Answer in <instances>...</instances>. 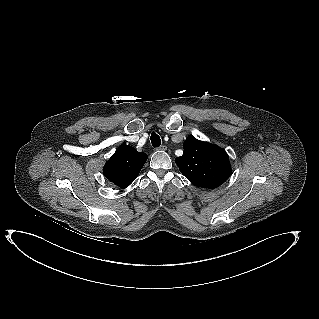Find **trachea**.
<instances>
[{
  "label": "trachea",
  "instance_id": "trachea-1",
  "mask_svg": "<svg viewBox=\"0 0 319 319\" xmlns=\"http://www.w3.org/2000/svg\"><path fill=\"white\" fill-rule=\"evenodd\" d=\"M150 139L153 147L156 148L161 145V139L156 133H152Z\"/></svg>",
  "mask_w": 319,
  "mask_h": 319
}]
</instances>
